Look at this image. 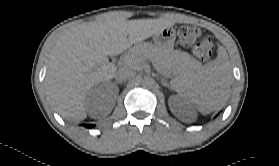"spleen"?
Here are the masks:
<instances>
[{"instance_id": "spleen-1", "label": "spleen", "mask_w": 279, "mask_h": 166, "mask_svg": "<svg viewBox=\"0 0 279 166\" xmlns=\"http://www.w3.org/2000/svg\"><path fill=\"white\" fill-rule=\"evenodd\" d=\"M170 85L201 113L218 109L229 98L232 85V69L226 51L220 48L215 61L177 76Z\"/></svg>"}]
</instances>
